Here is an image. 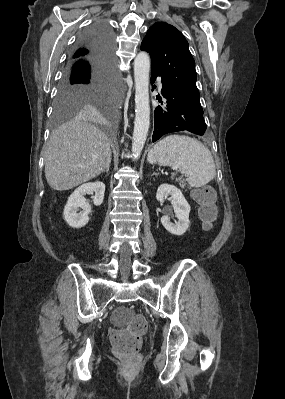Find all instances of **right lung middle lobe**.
Wrapping results in <instances>:
<instances>
[{
	"instance_id": "right-lung-middle-lobe-1",
	"label": "right lung middle lobe",
	"mask_w": 285,
	"mask_h": 399,
	"mask_svg": "<svg viewBox=\"0 0 285 399\" xmlns=\"http://www.w3.org/2000/svg\"><path fill=\"white\" fill-rule=\"evenodd\" d=\"M114 96V84L89 86L62 79L54 105L55 124L78 111L110 118Z\"/></svg>"
}]
</instances>
